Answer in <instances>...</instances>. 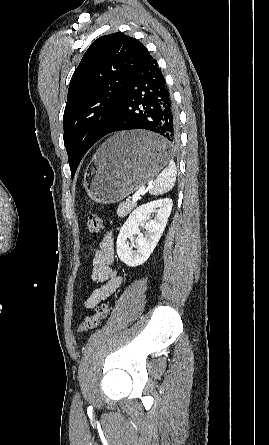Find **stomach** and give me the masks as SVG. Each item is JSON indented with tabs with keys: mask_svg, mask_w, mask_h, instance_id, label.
<instances>
[{
	"mask_svg": "<svg viewBox=\"0 0 269 445\" xmlns=\"http://www.w3.org/2000/svg\"><path fill=\"white\" fill-rule=\"evenodd\" d=\"M166 141L147 131L120 132L97 150L86 177L89 197L101 204L126 198L169 162Z\"/></svg>",
	"mask_w": 269,
	"mask_h": 445,
	"instance_id": "1",
	"label": "stomach"
}]
</instances>
